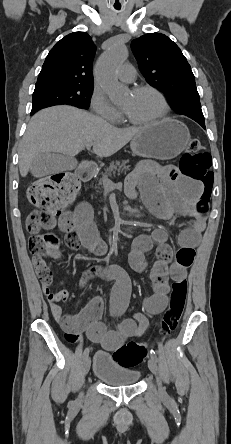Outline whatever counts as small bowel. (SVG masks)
Returning a JSON list of instances; mask_svg holds the SVG:
<instances>
[{"mask_svg": "<svg viewBox=\"0 0 231 444\" xmlns=\"http://www.w3.org/2000/svg\"><path fill=\"white\" fill-rule=\"evenodd\" d=\"M125 191L131 198L140 193L149 210L158 218L170 220L176 215L194 218L193 226L182 231L179 236L180 248L174 261V253L167 243L164 229H155L151 234H141L132 244L129 263L138 272L146 269L148 263L145 254L156 246L157 260L150 274L153 293L144 299L143 305L149 314L157 315L168 305L169 280L186 278L187 269L194 261L195 248L205 227L206 207L204 210L200 209L202 185L181 175L174 166L144 162L128 175ZM58 227L66 234V243L70 248L84 249L96 256L106 254L107 247L97 235L89 204L82 202L74 213L63 214L58 220ZM33 262L38 275L43 269H47L43 259L33 258ZM106 272L99 267L88 269L81 280V286H85L91 278L103 276ZM109 272H114L117 280L111 295L112 309L122 311L129 301L130 281L120 270L111 269ZM43 290L54 319L71 342L78 340L84 333L90 341L100 344L105 350H117L128 338L140 337L148 326V319L143 314L135 313L109 330L100 320L103 312V299L100 296L90 300L79 313L64 314L59 301L68 304L69 293L62 290L54 294L48 288Z\"/></svg>", "mask_w": 231, "mask_h": 444, "instance_id": "1", "label": "small bowel"}]
</instances>
